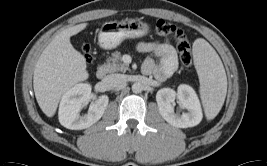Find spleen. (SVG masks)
I'll return each mask as SVG.
<instances>
[{
  "instance_id": "1",
  "label": "spleen",
  "mask_w": 267,
  "mask_h": 166,
  "mask_svg": "<svg viewBox=\"0 0 267 166\" xmlns=\"http://www.w3.org/2000/svg\"><path fill=\"white\" fill-rule=\"evenodd\" d=\"M194 64L200 81V97L208 120L220 112L227 93V77L222 61L204 40L193 44Z\"/></svg>"
}]
</instances>
